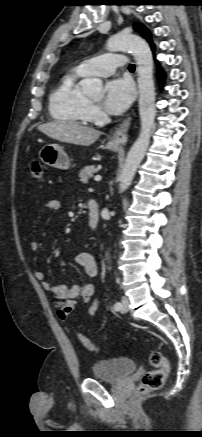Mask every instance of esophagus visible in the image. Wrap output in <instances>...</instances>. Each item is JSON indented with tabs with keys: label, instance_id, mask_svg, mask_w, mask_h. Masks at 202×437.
<instances>
[{
	"label": "esophagus",
	"instance_id": "34e87169",
	"mask_svg": "<svg viewBox=\"0 0 202 437\" xmlns=\"http://www.w3.org/2000/svg\"><path fill=\"white\" fill-rule=\"evenodd\" d=\"M131 123V116L125 118L114 131L110 142L115 145H124L127 142L128 130Z\"/></svg>",
	"mask_w": 202,
	"mask_h": 437
}]
</instances>
